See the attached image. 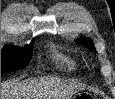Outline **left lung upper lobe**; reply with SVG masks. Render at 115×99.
<instances>
[{
	"mask_svg": "<svg viewBox=\"0 0 115 99\" xmlns=\"http://www.w3.org/2000/svg\"><path fill=\"white\" fill-rule=\"evenodd\" d=\"M77 42L82 45H86L92 51L96 52L93 42L89 38L78 39Z\"/></svg>",
	"mask_w": 115,
	"mask_h": 99,
	"instance_id": "5c2ea615",
	"label": "left lung upper lobe"
}]
</instances>
